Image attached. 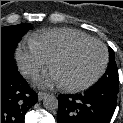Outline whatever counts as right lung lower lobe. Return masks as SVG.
<instances>
[{
	"label": "right lung lower lobe",
	"instance_id": "98d812e1",
	"mask_svg": "<svg viewBox=\"0 0 123 123\" xmlns=\"http://www.w3.org/2000/svg\"><path fill=\"white\" fill-rule=\"evenodd\" d=\"M37 101L17 67L1 61V123H24L27 110Z\"/></svg>",
	"mask_w": 123,
	"mask_h": 123
}]
</instances>
